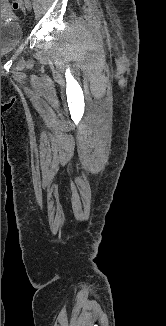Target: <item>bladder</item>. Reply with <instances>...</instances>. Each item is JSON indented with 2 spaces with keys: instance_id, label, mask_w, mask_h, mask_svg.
Returning <instances> with one entry per match:
<instances>
[{
  "instance_id": "1",
  "label": "bladder",
  "mask_w": 166,
  "mask_h": 326,
  "mask_svg": "<svg viewBox=\"0 0 166 326\" xmlns=\"http://www.w3.org/2000/svg\"><path fill=\"white\" fill-rule=\"evenodd\" d=\"M10 10L9 5L1 0V12ZM23 31L20 25L14 22H1V56L12 52L22 41Z\"/></svg>"
}]
</instances>
